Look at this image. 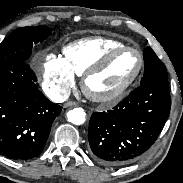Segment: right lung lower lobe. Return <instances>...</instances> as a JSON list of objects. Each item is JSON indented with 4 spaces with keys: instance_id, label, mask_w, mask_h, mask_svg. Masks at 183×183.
<instances>
[{
    "instance_id": "98d812e1",
    "label": "right lung lower lobe",
    "mask_w": 183,
    "mask_h": 183,
    "mask_svg": "<svg viewBox=\"0 0 183 183\" xmlns=\"http://www.w3.org/2000/svg\"><path fill=\"white\" fill-rule=\"evenodd\" d=\"M26 62L0 66V154L14 160L36 157L62 107L37 88Z\"/></svg>"
}]
</instances>
